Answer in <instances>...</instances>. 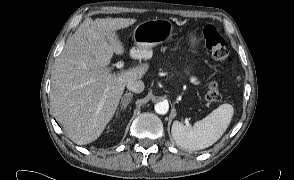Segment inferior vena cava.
I'll return each mask as SVG.
<instances>
[{
  "label": "inferior vena cava",
  "mask_w": 294,
  "mask_h": 180,
  "mask_svg": "<svg viewBox=\"0 0 294 180\" xmlns=\"http://www.w3.org/2000/svg\"><path fill=\"white\" fill-rule=\"evenodd\" d=\"M127 89L134 93H141L143 92L145 85L142 80H131L127 83Z\"/></svg>",
  "instance_id": "602c4592"
}]
</instances>
